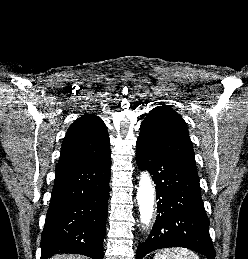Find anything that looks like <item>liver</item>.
Returning a JSON list of instances; mask_svg holds the SVG:
<instances>
[{
  "instance_id": "obj_1",
  "label": "liver",
  "mask_w": 248,
  "mask_h": 259,
  "mask_svg": "<svg viewBox=\"0 0 248 259\" xmlns=\"http://www.w3.org/2000/svg\"><path fill=\"white\" fill-rule=\"evenodd\" d=\"M50 259H89L86 256H81V255H56Z\"/></svg>"
}]
</instances>
